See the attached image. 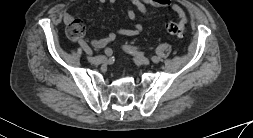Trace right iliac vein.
Returning a JSON list of instances; mask_svg holds the SVG:
<instances>
[{"label":"right iliac vein","mask_w":253,"mask_h":138,"mask_svg":"<svg viewBox=\"0 0 253 138\" xmlns=\"http://www.w3.org/2000/svg\"><path fill=\"white\" fill-rule=\"evenodd\" d=\"M89 60L91 63L100 64L106 60V57L103 55H99V56H95V57H89Z\"/></svg>","instance_id":"obj_1"}]
</instances>
